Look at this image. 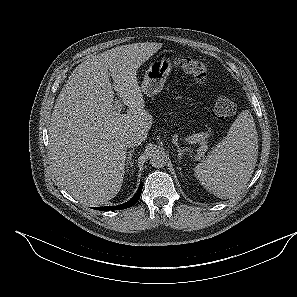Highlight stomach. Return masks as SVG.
Wrapping results in <instances>:
<instances>
[{
	"label": "stomach",
	"mask_w": 297,
	"mask_h": 297,
	"mask_svg": "<svg viewBox=\"0 0 297 297\" xmlns=\"http://www.w3.org/2000/svg\"><path fill=\"white\" fill-rule=\"evenodd\" d=\"M172 69V62L168 58L157 59L145 71L141 91L151 97L159 93Z\"/></svg>",
	"instance_id": "stomach-1"
}]
</instances>
